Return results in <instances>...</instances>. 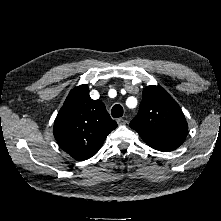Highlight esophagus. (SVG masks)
Masks as SVG:
<instances>
[{
	"label": "esophagus",
	"mask_w": 221,
	"mask_h": 221,
	"mask_svg": "<svg viewBox=\"0 0 221 221\" xmlns=\"http://www.w3.org/2000/svg\"><path fill=\"white\" fill-rule=\"evenodd\" d=\"M117 122H118V124L119 125H122V124H126V120H124L123 118H119L118 120H117Z\"/></svg>",
	"instance_id": "1"
}]
</instances>
